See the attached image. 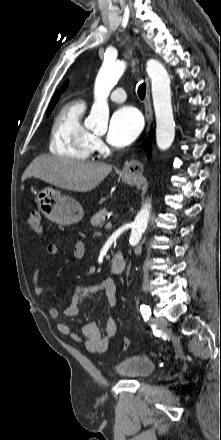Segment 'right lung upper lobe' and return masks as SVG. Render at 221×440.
Segmentation results:
<instances>
[{
	"mask_svg": "<svg viewBox=\"0 0 221 440\" xmlns=\"http://www.w3.org/2000/svg\"><path fill=\"white\" fill-rule=\"evenodd\" d=\"M67 84H68V80L65 81V83L63 84L62 90L65 89V87L67 86ZM59 94H60L59 91H57V92L55 93V95L53 96V99H52V101H51V103H50L49 109H50L51 107H54V106H55L56 102H57L58 99H59Z\"/></svg>",
	"mask_w": 221,
	"mask_h": 440,
	"instance_id": "cb5924a9",
	"label": "right lung upper lobe"
}]
</instances>
